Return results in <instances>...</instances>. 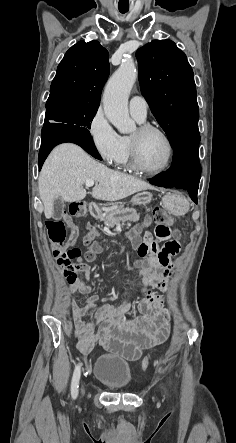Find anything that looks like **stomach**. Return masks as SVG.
Here are the masks:
<instances>
[{"instance_id":"0dacf381","label":"stomach","mask_w":236,"mask_h":443,"mask_svg":"<svg viewBox=\"0 0 236 443\" xmlns=\"http://www.w3.org/2000/svg\"><path fill=\"white\" fill-rule=\"evenodd\" d=\"M151 200L152 194L148 191H142L136 194L131 202L133 205H145L150 203ZM163 203L166 209L174 215H182L189 208L187 199L178 194H167L163 199Z\"/></svg>"}]
</instances>
